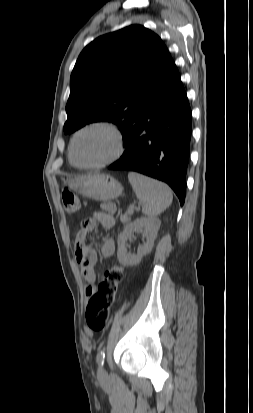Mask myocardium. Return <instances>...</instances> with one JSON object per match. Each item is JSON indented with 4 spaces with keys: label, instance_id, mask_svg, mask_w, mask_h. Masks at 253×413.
Segmentation results:
<instances>
[{
    "label": "myocardium",
    "instance_id": "1",
    "mask_svg": "<svg viewBox=\"0 0 253 413\" xmlns=\"http://www.w3.org/2000/svg\"><path fill=\"white\" fill-rule=\"evenodd\" d=\"M91 129H104L108 131L114 139V143H115L114 150L107 158L103 159L100 162H97L94 164H82L76 160L75 155H74L75 142L77 138L79 137V135ZM124 149H125L124 138H123L122 132L119 129V127L110 121L97 120V121H93V122L83 125L73 134L71 141H70V145H69V157H70L71 162L79 168L98 169V168H102L107 165H110L114 163L115 161H117L122 156Z\"/></svg>",
    "mask_w": 253,
    "mask_h": 413
}]
</instances>
